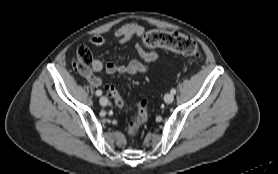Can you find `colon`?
Returning <instances> with one entry per match:
<instances>
[{
	"label": "colon",
	"instance_id": "obj_1",
	"mask_svg": "<svg viewBox=\"0 0 278 174\" xmlns=\"http://www.w3.org/2000/svg\"><path fill=\"white\" fill-rule=\"evenodd\" d=\"M143 42L149 47L165 48L185 56H189L195 60L200 59V49L197 42L193 38L179 32L159 29L150 30L144 34ZM75 59L76 67H89L92 61L90 50L84 45H79L75 51ZM107 92L113 98L118 107H125V103L120 93L114 86H108ZM135 110L136 115L133 120L130 121L127 128V132L131 137L137 136L140 128L148 121L149 118L147 102L145 100H140L136 104Z\"/></svg>",
	"mask_w": 278,
	"mask_h": 174
}]
</instances>
